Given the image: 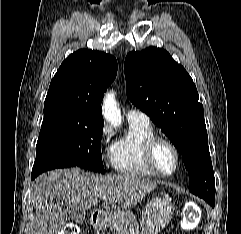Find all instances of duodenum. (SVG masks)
<instances>
[{"label":"duodenum","instance_id":"1","mask_svg":"<svg viewBox=\"0 0 241 234\" xmlns=\"http://www.w3.org/2000/svg\"><path fill=\"white\" fill-rule=\"evenodd\" d=\"M103 221V214L99 211L94 212L91 216V223L95 227L101 226Z\"/></svg>","mask_w":241,"mask_h":234}]
</instances>
